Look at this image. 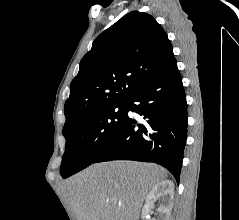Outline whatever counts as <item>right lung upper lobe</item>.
Instances as JSON below:
<instances>
[{"mask_svg": "<svg viewBox=\"0 0 239 220\" xmlns=\"http://www.w3.org/2000/svg\"><path fill=\"white\" fill-rule=\"evenodd\" d=\"M174 60L161 25L147 13H128L101 33L82 58L65 102L63 130L94 110L125 102Z\"/></svg>", "mask_w": 239, "mask_h": 220, "instance_id": "cb5924a9", "label": "right lung upper lobe"}]
</instances>
